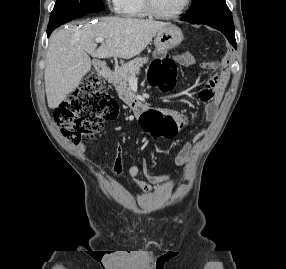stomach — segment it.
<instances>
[{
	"instance_id": "obj_1",
	"label": "stomach",
	"mask_w": 286,
	"mask_h": 269,
	"mask_svg": "<svg viewBox=\"0 0 286 269\" xmlns=\"http://www.w3.org/2000/svg\"><path fill=\"white\" fill-rule=\"evenodd\" d=\"M183 33L179 27L169 24L159 30L154 37L155 49H173L183 41Z\"/></svg>"
}]
</instances>
